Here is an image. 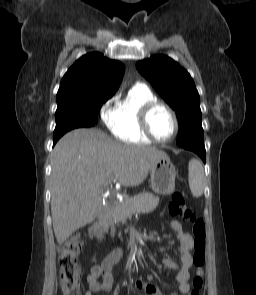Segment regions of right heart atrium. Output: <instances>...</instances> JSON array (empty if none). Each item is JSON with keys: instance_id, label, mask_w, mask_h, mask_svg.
I'll list each match as a JSON object with an SVG mask.
<instances>
[{"instance_id": "right-heart-atrium-1", "label": "right heart atrium", "mask_w": 256, "mask_h": 295, "mask_svg": "<svg viewBox=\"0 0 256 295\" xmlns=\"http://www.w3.org/2000/svg\"><path fill=\"white\" fill-rule=\"evenodd\" d=\"M112 100L107 101L105 104H103V106L101 107L100 113L103 117V119L106 121L108 113L110 111V104L112 103Z\"/></svg>"}]
</instances>
